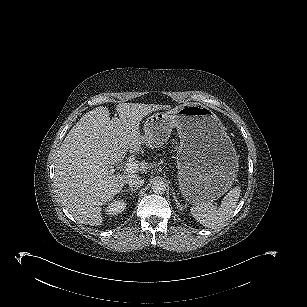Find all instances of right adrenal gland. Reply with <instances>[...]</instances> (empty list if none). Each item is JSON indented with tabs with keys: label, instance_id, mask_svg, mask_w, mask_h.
I'll return each mask as SVG.
<instances>
[{
	"label": "right adrenal gland",
	"instance_id": "2a0ac1e0",
	"mask_svg": "<svg viewBox=\"0 0 307 307\" xmlns=\"http://www.w3.org/2000/svg\"><path fill=\"white\" fill-rule=\"evenodd\" d=\"M137 190V188H130L128 190H126V192H131V195L133 194V192H135Z\"/></svg>",
	"mask_w": 307,
	"mask_h": 307
}]
</instances>
